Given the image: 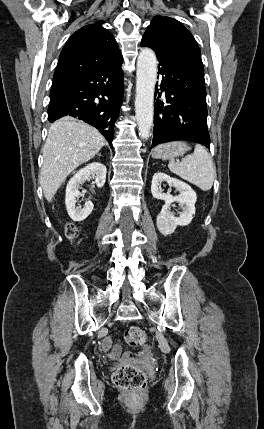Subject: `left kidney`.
Returning a JSON list of instances; mask_svg holds the SVG:
<instances>
[{"mask_svg": "<svg viewBox=\"0 0 264 429\" xmlns=\"http://www.w3.org/2000/svg\"><path fill=\"white\" fill-rule=\"evenodd\" d=\"M161 182H166L170 187L179 191L178 196L164 193L160 189ZM151 193L154 198L164 200L165 205L162 207L160 214L157 216L156 225L163 235L172 234L176 227L188 225L195 214V203L197 199L196 192L185 182L172 178L169 175L157 172L152 178ZM174 202L182 206V212L175 216L170 211V205Z\"/></svg>", "mask_w": 264, "mask_h": 429, "instance_id": "obj_1", "label": "left kidney"}]
</instances>
